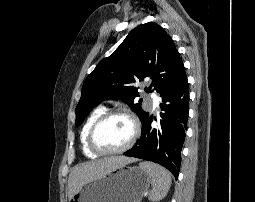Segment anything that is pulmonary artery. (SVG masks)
<instances>
[{
    "mask_svg": "<svg viewBox=\"0 0 255 202\" xmlns=\"http://www.w3.org/2000/svg\"><path fill=\"white\" fill-rule=\"evenodd\" d=\"M158 105H159V102H158L157 99H154V100L152 101V103H151V107H152L153 109H156V108L158 107Z\"/></svg>",
    "mask_w": 255,
    "mask_h": 202,
    "instance_id": "pulmonary-artery-1",
    "label": "pulmonary artery"
}]
</instances>
